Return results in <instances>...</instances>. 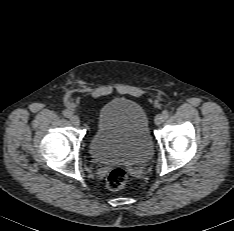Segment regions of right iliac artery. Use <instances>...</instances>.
<instances>
[{"mask_svg":"<svg viewBox=\"0 0 234 231\" xmlns=\"http://www.w3.org/2000/svg\"><path fill=\"white\" fill-rule=\"evenodd\" d=\"M63 115H64L65 117L69 118V117L71 116V113H70V111H68V110H64V111H63Z\"/></svg>","mask_w":234,"mask_h":231,"instance_id":"82829eb1","label":"right iliac artery"}]
</instances>
